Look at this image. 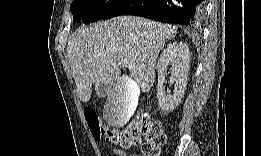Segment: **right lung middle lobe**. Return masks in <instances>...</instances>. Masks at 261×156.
<instances>
[{
    "instance_id": "right-lung-middle-lobe-1",
    "label": "right lung middle lobe",
    "mask_w": 261,
    "mask_h": 156,
    "mask_svg": "<svg viewBox=\"0 0 261 156\" xmlns=\"http://www.w3.org/2000/svg\"><path fill=\"white\" fill-rule=\"evenodd\" d=\"M119 2L120 0H75L70 6L73 22L88 24L100 20Z\"/></svg>"
}]
</instances>
